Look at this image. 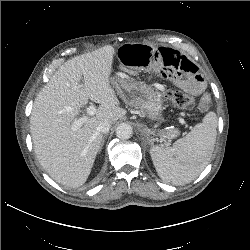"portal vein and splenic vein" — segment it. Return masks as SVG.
<instances>
[{"label":"portal vein and splenic vein","mask_w":250,"mask_h":250,"mask_svg":"<svg viewBox=\"0 0 250 250\" xmlns=\"http://www.w3.org/2000/svg\"><path fill=\"white\" fill-rule=\"evenodd\" d=\"M95 112H96V108H95V106H94L93 104H91V105H89V106L87 107V114H88L89 116L94 115ZM85 121H86V117H85V116H84V117H81V118H79V119H77V120H75V121L72 123V129H73L74 131H75V130H78V129L85 123Z\"/></svg>","instance_id":"1"}]
</instances>
